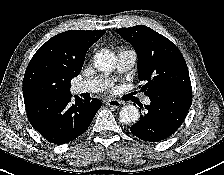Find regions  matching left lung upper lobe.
Returning <instances> with one entry per match:
<instances>
[{"instance_id":"obj_1","label":"left lung upper lobe","mask_w":224,"mask_h":175,"mask_svg":"<svg viewBox=\"0 0 224 175\" xmlns=\"http://www.w3.org/2000/svg\"><path fill=\"white\" fill-rule=\"evenodd\" d=\"M130 42L138 56V77L144 81L146 96L192 98L191 81L184 57L166 37L147 26L137 25L117 30Z\"/></svg>"}]
</instances>
